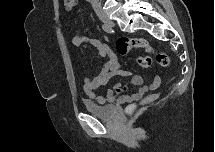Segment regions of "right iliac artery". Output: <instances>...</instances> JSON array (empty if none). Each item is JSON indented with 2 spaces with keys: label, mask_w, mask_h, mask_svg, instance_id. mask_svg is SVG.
<instances>
[{
  "label": "right iliac artery",
  "mask_w": 215,
  "mask_h": 152,
  "mask_svg": "<svg viewBox=\"0 0 215 152\" xmlns=\"http://www.w3.org/2000/svg\"><path fill=\"white\" fill-rule=\"evenodd\" d=\"M102 29L107 33H113V30L111 29V27L106 24L102 25Z\"/></svg>",
  "instance_id": "1"
}]
</instances>
